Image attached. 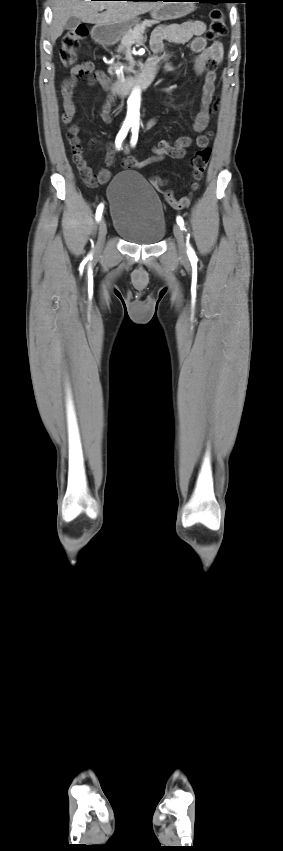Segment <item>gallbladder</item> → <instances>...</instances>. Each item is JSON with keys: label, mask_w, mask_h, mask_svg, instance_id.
Returning a JSON list of instances; mask_svg holds the SVG:
<instances>
[{"label": "gallbladder", "mask_w": 283, "mask_h": 851, "mask_svg": "<svg viewBox=\"0 0 283 851\" xmlns=\"http://www.w3.org/2000/svg\"><path fill=\"white\" fill-rule=\"evenodd\" d=\"M80 23H81V19L72 16L68 19L64 28L66 30H74Z\"/></svg>", "instance_id": "obj_1"}]
</instances>
